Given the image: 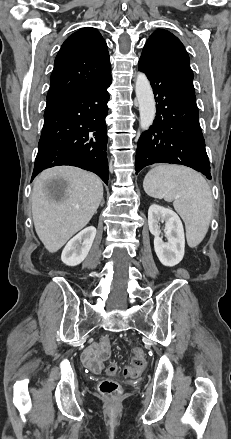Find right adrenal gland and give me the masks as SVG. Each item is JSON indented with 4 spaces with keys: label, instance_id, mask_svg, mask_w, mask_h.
<instances>
[{
    "label": "right adrenal gland",
    "instance_id": "right-adrenal-gland-1",
    "mask_svg": "<svg viewBox=\"0 0 231 439\" xmlns=\"http://www.w3.org/2000/svg\"><path fill=\"white\" fill-rule=\"evenodd\" d=\"M104 203V200L102 201L101 205Z\"/></svg>",
    "mask_w": 231,
    "mask_h": 439
}]
</instances>
